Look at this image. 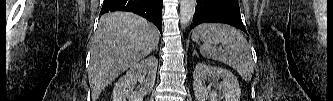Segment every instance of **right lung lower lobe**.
I'll return each mask as SVG.
<instances>
[{"instance_id":"98d812e1","label":"right lung lower lobe","mask_w":333,"mask_h":101,"mask_svg":"<svg viewBox=\"0 0 333 101\" xmlns=\"http://www.w3.org/2000/svg\"><path fill=\"white\" fill-rule=\"evenodd\" d=\"M162 0H104L100 14L109 11H129L154 23L162 34Z\"/></svg>"}]
</instances>
